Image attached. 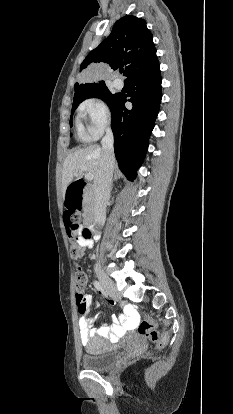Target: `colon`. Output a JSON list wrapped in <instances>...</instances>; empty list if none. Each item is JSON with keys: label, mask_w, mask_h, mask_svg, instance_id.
<instances>
[{"label": "colon", "mask_w": 233, "mask_h": 414, "mask_svg": "<svg viewBox=\"0 0 233 414\" xmlns=\"http://www.w3.org/2000/svg\"><path fill=\"white\" fill-rule=\"evenodd\" d=\"M80 220L79 212H69L68 210L65 213V224L68 230L69 237L72 239L70 253L71 257L75 261H79L83 257L84 250L78 244L77 238L75 237V230L78 226ZM84 238H87V234L83 235ZM78 273H75V301L77 307L80 304H83L85 299V289L87 285V276L83 271L80 265H77ZM77 271V269H76ZM139 334L148 338L149 340L156 342L158 348H162L165 345V339L160 337L158 331L156 330V323L150 317H147L138 327Z\"/></svg>", "instance_id": "obj_1"}]
</instances>
